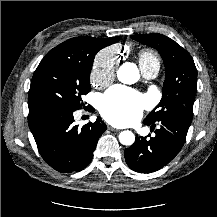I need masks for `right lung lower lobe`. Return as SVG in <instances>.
<instances>
[{
  "label": "right lung lower lobe",
  "instance_id": "right-lung-lower-lobe-1",
  "mask_svg": "<svg viewBox=\"0 0 217 217\" xmlns=\"http://www.w3.org/2000/svg\"><path fill=\"white\" fill-rule=\"evenodd\" d=\"M90 110H93L91 106ZM73 112L46 109L28 116L39 153L48 165L62 173L83 170L91 162L98 139L107 129L100 117L79 128L73 124Z\"/></svg>",
  "mask_w": 217,
  "mask_h": 217
}]
</instances>
